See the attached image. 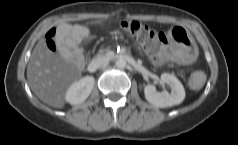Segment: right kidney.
<instances>
[{
  "label": "right kidney",
  "instance_id": "right-kidney-1",
  "mask_svg": "<svg viewBox=\"0 0 238 145\" xmlns=\"http://www.w3.org/2000/svg\"><path fill=\"white\" fill-rule=\"evenodd\" d=\"M95 80L92 76H86L72 83L66 91L65 100L71 105L83 103L91 94Z\"/></svg>",
  "mask_w": 238,
  "mask_h": 145
}]
</instances>
